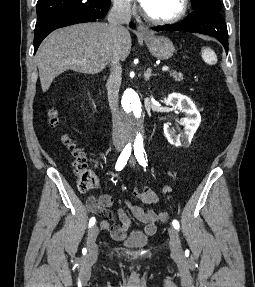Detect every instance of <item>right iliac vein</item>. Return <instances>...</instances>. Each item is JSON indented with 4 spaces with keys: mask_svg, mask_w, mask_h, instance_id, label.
I'll return each mask as SVG.
<instances>
[{
    "mask_svg": "<svg viewBox=\"0 0 255 287\" xmlns=\"http://www.w3.org/2000/svg\"><path fill=\"white\" fill-rule=\"evenodd\" d=\"M118 151H121V149H118ZM99 234V228L98 226H93L88 234L87 238V260L88 261H94L97 257L98 253V247L96 244V238Z\"/></svg>",
    "mask_w": 255,
    "mask_h": 287,
    "instance_id": "right-iliac-vein-1",
    "label": "right iliac vein"
}]
</instances>
